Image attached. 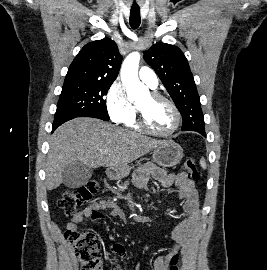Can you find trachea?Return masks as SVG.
I'll use <instances>...</instances> for the list:
<instances>
[{"mask_svg": "<svg viewBox=\"0 0 267 270\" xmlns=\"http://www.w3.org/2000/svg\"><path fill=\"white\" fill-rule=\"evenodd\" d=\"M130 26L133 29H137L140 25L141 18H140V9L139 7H132L130 10Z\"/></svg>", "mask_w": 267, "mask_h": 270, "instance_id": "3493384b", "label": "trachea"}]
</instances>
